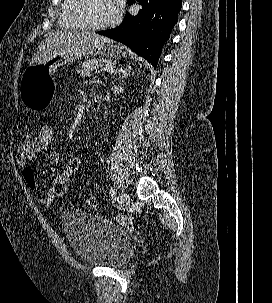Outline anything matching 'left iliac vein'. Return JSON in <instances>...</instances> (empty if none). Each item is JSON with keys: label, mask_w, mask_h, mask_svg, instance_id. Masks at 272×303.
<instances>
[{"label": "left iliac vein", "mask_w": 272, "mask_h": 303, "mask_svg": "<svg viewBox=\"0 0 272 303\" xmlns=\"http://www.w3.org/2000/svg\"><path fill=\"white\" fill-rule=\"evenodd\" d=\"M120 201L123 206H128L131 203V197L129 194L123 192L120 194Z\"/></svg>", "instance_id": "left-iliac-vein-1"}]
</instances>
